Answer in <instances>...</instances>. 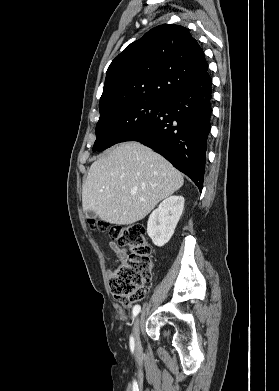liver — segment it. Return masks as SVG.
Segmentation results:
<instances>
[{"instance_id":"liver-1","label":"liver","mask_w":279,"mask_h":391,"mask_svg":"<svg viewBox=\"0 0 279 391\" xmlns=\"http://www.w3.org/2000/svg\"><path fill=\"white\" fill-rule=\"evenodd\" d=\"M183 183L182 174L160 154L138 142H124L91 165L82 206L103 221L129 225L142 220Z\"/></svg>"}]
</instances>
